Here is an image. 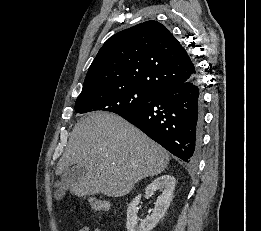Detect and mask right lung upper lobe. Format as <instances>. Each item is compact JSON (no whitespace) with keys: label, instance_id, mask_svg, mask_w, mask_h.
Masks as SVG:
<instances>
[{"label":"right lung upper lobe","instance_id":"right-lung-upper-lobe-1","mask_svg":"<svg viewBox=\"0 0 261 231\" xmlns=\"http://www.w3.org/2000/svg\"><path fill=\"white\" fill-rule=\"evenodd\" d=\"M185 48L157 21L110 37L92 62L80 95L138 87L154 94L196 75Z\"/></svg>","mask_w":261,"mask_h":231}]
</instances>
